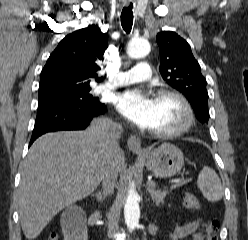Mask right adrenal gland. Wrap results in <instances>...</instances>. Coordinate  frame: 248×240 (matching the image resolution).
<instances>
[{
	"instance_id": "2a0ac1e0",
	"label": "right adrenal gland",
	"mask_w": 248,
	"mask_h": 240,
	"mask_svg": "<svg viewBox=\"0 0 248 240\" xmlns=\"http://www.w3.org/2000/svg\"><path fill=\"white\" fill-rule=\"evenodd\" d=\"M92 196L96 197L98 202H103V200L105 199V195L101 191L94 193Z\"/></svg>"
}]
</instances>
